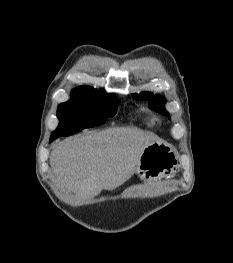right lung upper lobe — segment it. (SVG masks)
I'll return each instance as SVG.
<instances>
[{"instance_id": "1", "label": "right lung upper lobe", "mask_w": 233, "mask_h": 263, "mask_svg": "<svg viewBox=\"0 0 233 263\" xmlns=\"http://www.w3.org/2000/svg\"><path fill=\"white\" fill-rule=\"evenodd\" d=\"M106 95L105 93L96 90L90 86H80L75 88L72 93L71 97H98V96H103Z\"/></svg>"}]
</instances>
